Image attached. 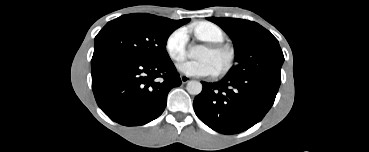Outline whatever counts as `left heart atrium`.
<instances>
[{"instance_id":"39dd6f15","label":"left heart atrium","mask_w":369,"mask_h":152,"mask_svg":"<svg viewBox=\"0 0 369 152\" xmlns=\"http://www.w3.org/2000/svg\"><path fill=\"white\" fill-rule=\"evenodd\" d=\"M177 68L187 76L204 77L216 74L217 67L211 58H202L198 60H183Z\"/></svg>"}]
</instances>
